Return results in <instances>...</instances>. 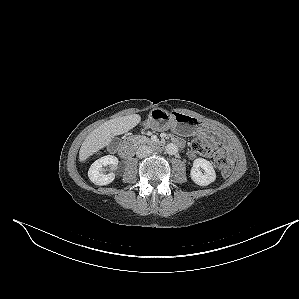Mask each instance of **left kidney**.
I'll use <instances>...</instances> for the list:
<instances>
[{
	"label": "left kidney",
	"instance_id": "left-kidney-1",
	"mask_svg": "<svg viewBox=\"0 0 299 299\" xmlns=\"http://www.w3.org/2000/svg\"><path fill=\"white\" fill-rule=\"evenodd\" d=\"M201 169L204 173L201 172ZM190 175L193 182L199 186H207L216 179V173L212 164L203 158L194 160Z\"/></svg>",
	"mask_w": 299,
	"mask_h": 299
}]
</instances>
